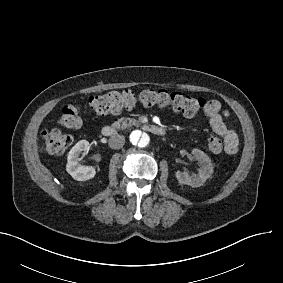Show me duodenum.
I'll return each instance as SVG.
<instances>
[{"mask_svg": "<svg viewBox=\"0 0 283 283\" xmlns=\"http://www.w3.org/2000/svg\"><path fill=\"white\" fill-rule=\"evenodd\" d=\"M119 129L120 127L117 125H106L102 127L101 134L104 137H111L116 135L119 132ZM142 129L147 133L158 136H162L166 133V131L163 128L153 124H143Z\"/></svg>", "mask_w": 283, "mask_h": 283, "instance_id": "duodenum-1", "label": "duodenum"}]
</instances>
